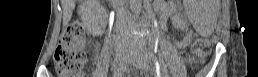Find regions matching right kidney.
<instances>
[{"instance_id": "1", "label": "right kidney", "mask_w": 258, "mask_h": 77, "mask_svg": "<svg viewBox=\"0 0 258 77\" xmlns=\"http://www.w3.org/2000/svg\"><path fill=\"white\" fill-rule=\"evenodd\" d=\"M97 8L98 7V5L96 4V2H94L92 5H89V6H87L86 8H88V9H92V8ZM105 13V10H104V8H98L97 10H96V12L94 13V18H96V19H98V18H100L103 14Z\"/></svg>"}]
</instances>
